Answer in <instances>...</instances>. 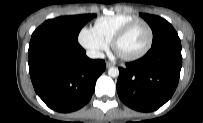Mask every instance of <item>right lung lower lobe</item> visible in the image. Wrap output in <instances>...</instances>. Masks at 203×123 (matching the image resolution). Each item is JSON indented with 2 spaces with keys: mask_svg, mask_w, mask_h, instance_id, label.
I'll return each mask as SVG.
<instances>
[{
  "mask_svg": "<svg viewBox=\"0 0 203 123\" xmlns=\"http://www.w3.org/2000/svg\"><path fill=\"white\" fill-rule=\"evenodd\" d=\"M28 64L35 92L58 112L83 107L105 70L104 60L89 59L78 42L51 36L31 38Z\"/></svg>",
  "mask_w": 203,
  "mask_h": 123,
  "instance_id": "obj_1",
  "label": "right lung lower lobe"
}]
</instances>
